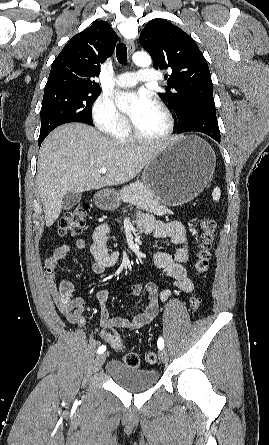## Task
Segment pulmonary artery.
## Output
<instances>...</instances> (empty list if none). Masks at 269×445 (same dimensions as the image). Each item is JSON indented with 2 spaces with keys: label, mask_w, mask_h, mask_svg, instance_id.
<instances>
[{
  "label": "pulmonary artery",
  "mask_w": 269,
  "mask_h": 445,
  "mask_svg": "<svg viewBox=\"0 0 269 445\" xmlns=\"http://www.w3.org/2000/svg\"><path fill=\"white\" fill-rule=\"evenodd\" d=\"M160 79L157 71L153 69L143 68L137 73L126 72L116 77V84L120 87H131L141 82H155Z\"/></svg>",
  "instance_id": "obj_1"
}]
</instances>
